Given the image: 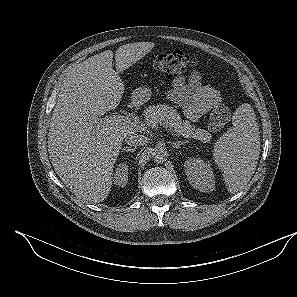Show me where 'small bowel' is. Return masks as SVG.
<instances>
[{"label": "small bowel", "instance_id": "small-bowel-1", "mask_svg": "<svg viewBox=\"0 0 297 297\" xmlns=\"http://www.w3.org/2000/svg\"><path fill=\"white\" fill-rule=\"evenodd\" d=\"M167 98L178 105L185 117L194 122L221 103L220 92L211 85L203 84L198 73L188 79L176 77Z\"/></svg>", "mask_w": 297, "mask_h": 297}]
</instances>
